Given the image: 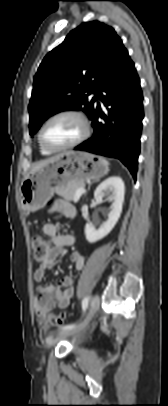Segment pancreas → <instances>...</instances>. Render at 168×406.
<instances>
[{"instance_id": "pancreas-1", "label": "pancreas", "mask_w": 168, "mask_h": 406, "mask_svg": "<svg viewBox=\"0 0 168 406\" xmlns=\"http://www.w3.org/2000/svg\"><path fill=\"white\" fill-rule=\"evenodd\" d=\"M84 184H70L65 188L58 189L56 192L67 202L74 201L75 193L78 189L83 188Z\"/></svg>"}]
</instances>
